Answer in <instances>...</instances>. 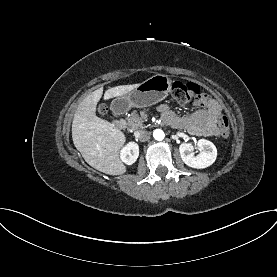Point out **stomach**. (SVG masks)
<instances>
[{"label":"stomach","instance_id":"obj_1","mask_svg":"<svg viewBox=\"0 0 277 277\" xmlns=\"http://www.w3.org/2000/svg\"><path fill=\"white\" fill-rule=\"evenodd\" d=\"M171 85L172 81L167 75L156 74L139 84L131 92L114 99L111 108L114 112L124 113L132 107L151 106L168 96Z\"/></svg>","mask_w":277,"mask_h":277}]
</instances>
